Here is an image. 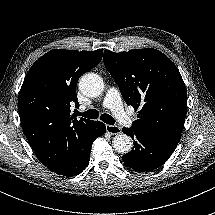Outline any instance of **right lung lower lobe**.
Wrapping results in <instances>:
<instances>
[{
	"mask_svg": "<svg viewBox=\"0 0 215 215\" xmlns=\"http://www.w3.org/2000/svg\"><path fill=\"white\" fill-rule=\"evenodd\" d=\"M106 132V126L100 121H90L85 126L71 133L64 159L51 171L63 175H77L85 169L90 159L94 140Z\"/></svg>",
	"mask_w": 215,
	"mask_h": 215,
	"instance_id": "98d812e1",
	"label": "right lung lower lobe"
}]
</instances>
